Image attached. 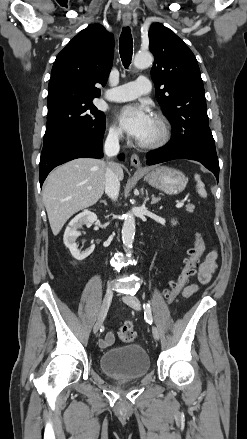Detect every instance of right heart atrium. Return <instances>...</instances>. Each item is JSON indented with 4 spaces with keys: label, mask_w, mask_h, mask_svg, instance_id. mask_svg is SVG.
<instances>
[{
    "label": "right heart atrium",
    "mask_w": 247,
    "mask_h": 439,
    "mask_svg": "<svg viewBox=\"0 0 247 439\" xmlns=\"http://www.w3.org/2000/svg\"><path fill=\"white\" fill-rule=\"evenodd\" d=\"M109 135L112 138H119L122 136V130L119 126H117L116 124H113L109 129Z\"/></svg>",
    "instance_id": "right-heart-atrium-1"
}]
</instances>
